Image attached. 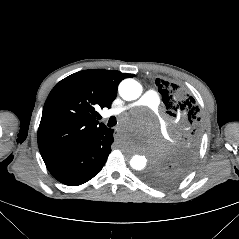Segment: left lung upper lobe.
Returning <instances> with one entry per match:
<instances>
[{"mask_svg":"<svg viewBox=\"0 0 239 239\" xmlns=\"http://www.w3.org/2000/svg\"><path fill=\"white\" fill-rule=\"evenodd\" d=\"M156 85L171 123V145L164 158L144 173L143 179L152 186L166 188L179 182L194 164L201 136L200 109L177 84L157 78Z\"/></svg>","mask_w":239,"mask_h":239,"instance_id":"left-lung-upper-lobe-1","label":"left lung upper lobe"}]
</instances>
